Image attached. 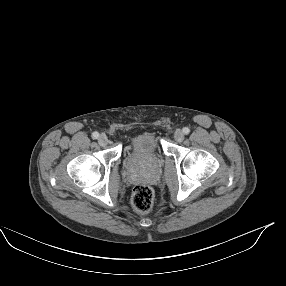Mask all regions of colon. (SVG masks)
<instances>
[{
	"mask_svg": "<svg viewBox=\"0 0 286 286\" xmlns=\"http://www.w3.org/2000/svg\"><path fill=\"white\" fill-rule=\"evenodd\" d=\"M154 202V194L152 189L146 184H138L134 187L131 203L135 211L138 213L148 212Z\"/></svg>",
	"mask_w": 286,
	"mask_h": 286,
	"instance_id": "5ec220e1",
	"label": "colon"
}]
</instances>
